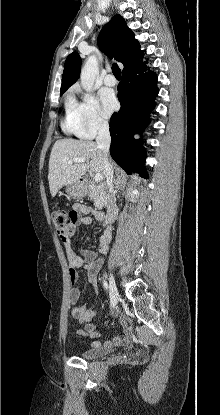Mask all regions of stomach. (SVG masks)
<instances>
[{
	"instance_id": "1",
	"label": "stomach",
	"mask_w": 220,
	"mask_h": 415,
	"mask_svg": "<svg viewBox=\"0 0 220 415\" xmlns=\"http://www.w3.org/2000/svg\"><path fill=\"white\" fill-rule=\"evenodd\" d=\"M66 192L69 197L78 199L86 194L87 187L83 182L77 181L73 184L67 185Z\"/></svg>"
}]
</instances>
